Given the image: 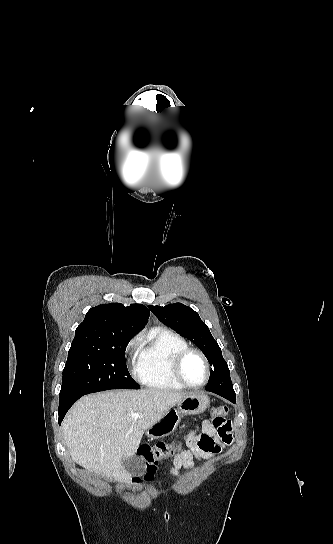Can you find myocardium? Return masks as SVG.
<instances>
[{
  "mask_svg": "<svg viewBox=\"0 0 333 544\" xmlns=\"http://www.w3.org/2000/svg\"><path fill=\"white\" fill-rule=\"evenodd\" d=\"M192 354L199 356L202 359L206 368V378L204 382L199 385L189 383L183 375L184 362ZM171 370L173 377L179 384H181L183 387L191 389H200L204 387L205 385H207L211 377V366L207 357L200 350L191 347L184 348L175 354L172 359Z\"/></svg>",
  "mask_w": 333,
  "mask_h": 544,
  "instance_id": "myocardium-1",
  "label": "myocardium"
}]
</instances>
